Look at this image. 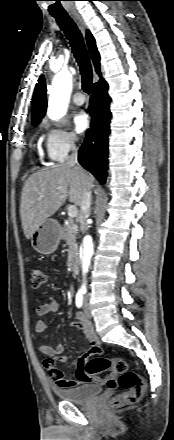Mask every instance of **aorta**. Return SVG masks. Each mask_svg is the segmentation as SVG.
I'll use <instances>...</instances> for the list:
<instances>
[{"label": "aorta", "mask_w": 174, "mask_h": 440, "mask_svg": "<svg viewBox=\"0 0 174 440\" xmlns=\"http://www.w3.org/2000/svg\"><path fill=\"white\" fill-rule=\"evenodd\" d=\"M72 91V74L68 69H62L53 79L52 91L48 101V116L58 120L65 115ZM94 253L93 240L87 235L80 250V261L83 275L88 272Z\"/></svg>", "instance_id": "1"}]
</instances>
